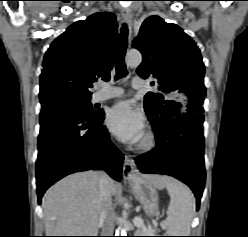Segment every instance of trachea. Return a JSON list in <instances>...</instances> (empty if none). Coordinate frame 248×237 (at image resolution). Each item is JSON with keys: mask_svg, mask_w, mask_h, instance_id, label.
I'll return each mask as SVG.
<instances>
[{"mask_svg": "<svg viewBox=\"0 0 248 237\" xmlns=\"http://www.w3.org/2000/svg\"><path fill=\"white\" fill-rule=\"evenodd\" d=\"M127 36L128 28L124 25L121 28L120 41L118 44V49L116 53V77L115 79H120L126 77L128 72L125 65V53L127 49Z\"/></svg>", "mask_w": 248, "mask_h": 237, "instance_id": "1", "label": "trachea"}]
</instances>
